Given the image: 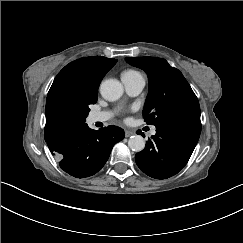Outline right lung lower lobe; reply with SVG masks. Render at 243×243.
<instances>
[{
	"label": "right lung lower lobe",
	"instance_id": "right-lung-lower-lobe-1",
	"mask_svg": "<svg viewBox=\"0 0 243 243\" xmlns=\"http://www.w3.org/2000/svg\"><path fill=\"white\" fill-rule=\"evenodd\" d=\"M124 136V131L117 126L97 131L84 123L64 128L46 142L65 172L84 178L94 175L104 166L113 146Z\"/></svg>",
	"mask_w": 243,
	"mask_h": 243
}]
</instances>
